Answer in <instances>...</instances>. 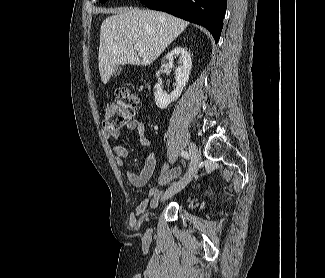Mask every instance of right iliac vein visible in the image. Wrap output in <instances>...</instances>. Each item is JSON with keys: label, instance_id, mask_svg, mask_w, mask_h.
<instances>
[{"label": "right iliac vein", "instance_id": "1", "mask_svg": "<svg viewBox=\"0 0 325 278\" xmlns=\"http://www.w3.org/2000/svg\"><path fill=\"white\" fill-rule=\"evenodd\" d=\"M189 152L191 155V165L185 176L177 183L171 185L163 194L161 200L165 201L176 193L184 189L194 178L199 169L200 153L194 143H190Z\"/></svg>", "mask_w": 325, "mask_h": 278}]
</instances>
